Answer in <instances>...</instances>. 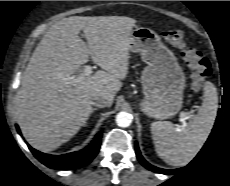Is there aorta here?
I'll list each match as a JSON object with an SVG mask.
<instances>
[{"mask_svg":"<svg viewBox=\"0 0 230 186\" xmlns=\"http://www.w3.org/2000/svg\"><path fill=\"white\" fill-rule=\"evenodd\" d=\"M132 115L128 112H119L116 116V123L120 127H128L132 123Z\"/></svg>","mask_w":230,"mask_h":186,"instance_id":"obj_1","label":"aorta"}]
</instances>
